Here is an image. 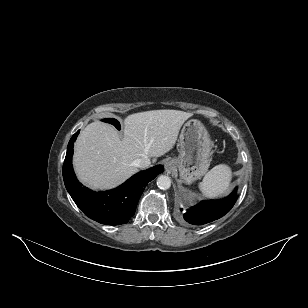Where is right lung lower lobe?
Masks as SVG:
<instances>
[{
    "mask_svg": "<svg viewBox=\"0 0 308 308\" xmlns=\"http://www.w3.org/2000/svg\"><path fill=\"white\" fill-rule=\"evenodd\" d=\"M78 134L79 131L70 139L63 164V179L67 191L89 218L107 225L127 223L135 213L145 185L162 173L164 167L157 165L141 171L121 186L106 192L91 191L78 182L72 167L73 144Z\"/></svg>",
    "mask_w": 308,
    "mask_h": 308,
    "instance_id": "1",
    "label": "right lung lower lobe"
}]
</instances>
